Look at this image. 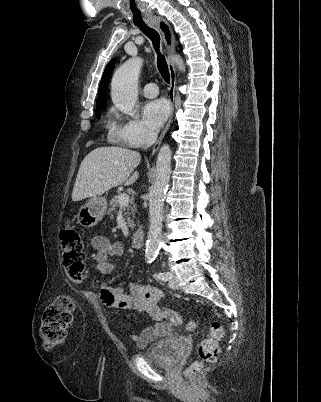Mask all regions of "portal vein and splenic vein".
I'll return each mask as SVG.
<instances>
[{"label": "portal vein and splenic vein", "mask_w": 321, "mask_h": 402, "mask_svg": "<svg viewBox=\"0 0 321 402\" xmlns=\"http://www.w3.org/2000/svg\"><path fill=\"white\" fill-rule=\"evenodd\" d=\"M129 203V196L126 193H122L119 196V204L120 206H126Z\"/></svg>", "instance_id": "obj_1"}]
</instances>
